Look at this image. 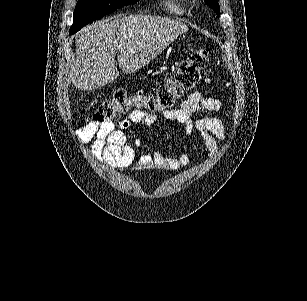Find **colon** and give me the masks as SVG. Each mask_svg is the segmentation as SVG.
Here are the masks:
<instances>
[{
	"instance_id": "5ec220e1",
	"label": "colon",
	"mask_w": 307,
	"mask_h": 301,
	"mask_svg": "<svg viewBox=\"0 0 307 301\" xmlns=\"http://www.w3.org/2000/svg\"><path fill=\"white\" fill-rule=\"evenodd\" d=\"M209 62L206 49L190 50L186 60L176 69L174 76L161 85L155 94L137 91L129 94L119 90L112 100L101 102L89 122L104 124L132 111L157 112L171 108L183 93L194 87L201 79V73Z\"/></svg>"
}]
</instances>
